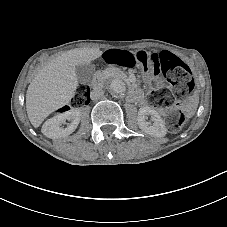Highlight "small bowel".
<instances>
[{
  "label": "small bowel",
  "mask_w": 227,
  "mask_h": 227,
  "mask_svg": "<svg viewBox=\"0 0 227 227\" xmlns=\"http://www.w3.org/2000/svg\"><path fill=\"white\" fill-rule=\"evenodd\" d=\"M133 53H139V54H143V55H146V56H149V57H158L159 53L158 51H154V52H146V51H137V52H133Z\"/></svg>",
  "instance_id": "small-bowel-1"
}]
</instances>
